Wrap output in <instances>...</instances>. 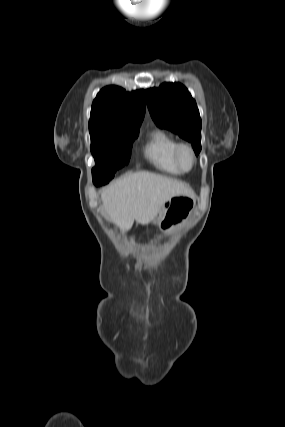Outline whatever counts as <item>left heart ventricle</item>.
<instances>
[{"mask_svg": "<svg viewBox=\"0 0 285 427\" xmlns=\"http://www.w3.org/2000/svg\"><path fill=\"white\" fill-rule=\"evenodd\" d=\"M180 159H181V164L185 169L190 168L192 159H191L190 153L187 150L182 151Z\"/></svg>", "mask_w": 285, "mask_h": 427, "instance_id": "1", "label": "left heart ventricle"}]
</instances>
